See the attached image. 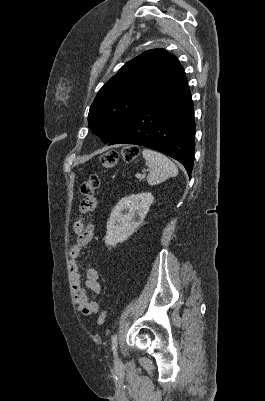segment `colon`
I'll return each instance as SVG.
<instances>
[{"instance_id": "obj_1", "label": "colon", "mask_w": 265, "mask_h": 401, "mask_svg": "<svg viewBox=\"0 0 265 401\" xmlns=\"http://www.w3.org/2000/svg\"><path fill=\"white\" fill-rule=\"evenodd\" d=\"M121 156L126 161H132L138 156V149L133 146L123 148ZM119 159L118 152L110 151L102 155L101 163L105 169H112L117 164ZM101 185V178L98 174L91 175L80 186V194L84 197H91ZM106 310L103 309L98 317V324L102 325L105 322Z\"/></svg>"}]
</instances>
